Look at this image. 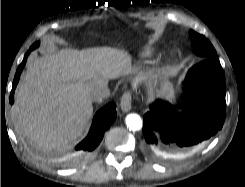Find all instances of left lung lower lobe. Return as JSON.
<instances>
[{"label": "left lung lower lobe", "mask_w": 245, "mask_h": 187, "mask_svg": "<svg viewBox=\"0 0 245 187\" xmlns=\"http://www.w3.org/2000/svg\"><path fill=\"white\" fill-rule=\"evenodd\" d=\"M189 82H193L191 87ZM186 111L177 113L174 106L161 99L150 105L144 115L143 133L147 143L157 144L153 133L159 132L163 143L180 148L200 144L223 126L226 112L225 78L217 57L202 60L187 73Z\"/></svg>", "instance_id": "1"}]
</instances>
